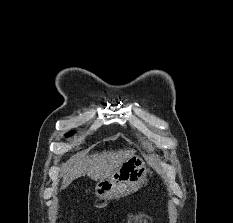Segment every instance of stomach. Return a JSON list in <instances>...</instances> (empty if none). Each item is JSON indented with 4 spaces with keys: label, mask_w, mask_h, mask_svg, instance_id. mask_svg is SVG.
Returning a JSON list of instances; mask_svg holds the SVG:
<instances>
[{
    "label": "stomach",
    "mask_w": 233,
    "mask_h": 223,
    "mask_svg": "<svg viewBox=\"0 0 233 223\" xmlns=\"http://www.w3.org/2000/svg\"><path fill=\"white\" fill-rule=\"evenodd\" d=\"M148 171L143 157L129 155L118 163V167L112 173L96 181L94 193L98 199L104 201L131 195L145 183Z\"/></svg>",
    "instance_id": "obj_1"
}]
</instances>
